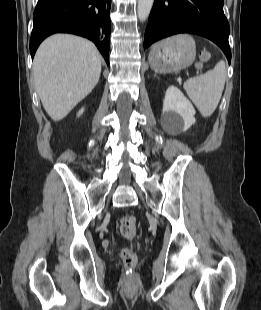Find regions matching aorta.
I'll return each instance as SVG.
<instances>
[{"label": "aorta", "mask_w": 261, "mask_h": 310, "mask_svg": "<svg viewBox=\"0 0 261 310\" xmlns=\"http://www.w3.org/2000/svg\"><path fill=\"white\" fill-rule=\"evenodd\" d=\"M154 0H138L137 13L140 21H145L152 9Z\"/></svg>", "instance_id": "obj_1"}]
</instances>
